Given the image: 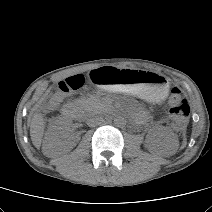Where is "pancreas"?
Returning <instances> with one entry per match:
<instances>
[{"label": "pancreas", "instance_id": "obj_1", "mask_svg": "<svg viewBox=\"0 0 212 212\" xmlns=\"http://www.w3.org/2000/svg\"><path fill=\"white\" fill-rule=\"evenodd\" d=\"M77 104L85 112L97 111L100 108H102V103H101L100 99L93 97V96L82 97L77 100Z\"/></svg>", "mask_w": 212, "mask_h": 212}]
</instances>
